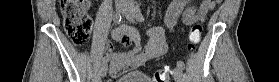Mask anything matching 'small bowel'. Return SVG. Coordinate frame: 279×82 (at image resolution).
<instances>
[{
    "mask_svg": "<svg viewBox=\"0 0 279 82\" xmlns=\"http://www.w3.org/2000/svg\"><path fill=\"white\" fill-rule=\"evenodd\" d=\"M213 7L206 6L205 1H202L201 5L197 7L191 4V0H173L166 13L165 26L172 29L180 16L186 26L204 22ZM112 39L128 48L126 51H115L113 43L106 44L105 57L108 59L109 71L112 76H118L125 70L140 68L148 60L166 53L168 49L163 27L153 28L150 31V38L144 46L141 44L138 30L124 24L112 31Z\"/></svg>",
    "mask_w": 279,
    "mask_h": 82,
    "instance_id": "small-bowel-1",
    "label": "small bowel"
}]
</instances>
